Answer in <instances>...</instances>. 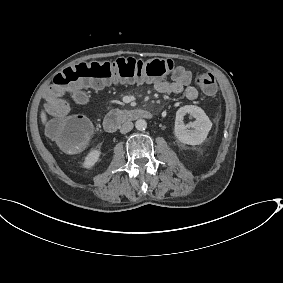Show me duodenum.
I'll return each mask as SVG.
<instances>
[{
	"label": "duodenum",
	"instance_id": "duodenum-1",
	"mask_svg": "<svg viewBox=\"0 0 283 283\" xmlns=\"http://www.w3.org/2000/svg\"><path fill=\"white\" fill-rule=\"evenodd\" d=\"M151 118V113L143 108L133 109L129 113H125L122 111H112L107 113L103 119L104 129L113 133L116 132L119 126L126 122L129 119H149Z\"/></svg>",
	"mask_w": 283,
	"mask_h": 283
}]
</instances>
